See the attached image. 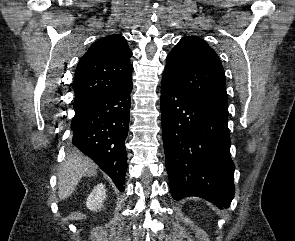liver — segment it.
<instances>
[{
    "label": "liver",
    "mask_w": 295,
    "mask_h": 241,
    "mask_svg": "<svg viewBox=\"0 0 295 241\" xmlns=\"http://www.w3.org/2000/svg\"><path fill=\"white\" fill-rule=\"evenodd\" d=\"M97 165L88 157L78 154L69 155L58 173V195L67 199L74 192L78 182L84 176H94Z\"/></svg>",
    "instance_id": "liver-1"
}]
</instances>
